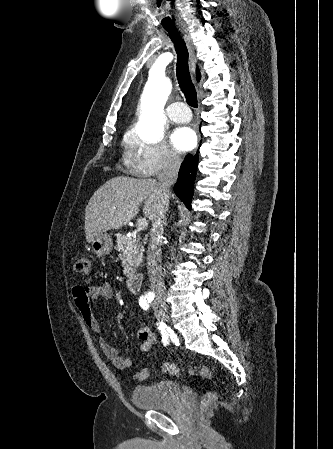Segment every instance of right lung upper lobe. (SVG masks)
<instances>
[{
    "mask_svg": "<svg viewBox=\"0 0 333 449\" xmlns=\"http://www.w3.org/2000/svg\"><path fill=\"white\" fill-rule=\"evenodd\" d=\"M200 78H201V75L199 73V70L197 69V79H198V81L200 80Z\"/></svg>",
    "mask_w": 333,
    "mask_h": 449,
    "instance_id": "1",
    "label": "right lung upper lobe"
}]
</instances>
